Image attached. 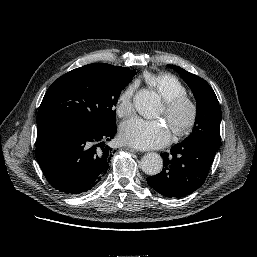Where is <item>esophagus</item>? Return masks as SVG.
Here are the masks:
<instances>
[{
	"label": "esophagus",
	"instance_id": "1",
	"mask_svg": "<svg viewBox=\"0 0 257 257\" xmlns=\"http://www.w3.org/2000/svg\"><path fill=\"white\" fill-rule=\"evenodd\" d=\"M124 149H125L126 151L133 152V153H136V152H137V150H136L135 148H132V147H124Z\"/></svg>",
	"mask_w": 257,
	"mask_h": 257
}]
</instances>
